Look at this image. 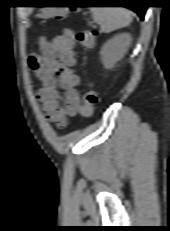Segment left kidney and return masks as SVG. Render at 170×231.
<instances>
[{
    "mask_svg": "<svg viewBox=\"0 0 170 231\" xmlns=\"http://www.w3.org/2000/svg\"><path fill=\"white\" fill-rule=\"evenodd\" d=\"M132 37L129 33L119 34L107 41L101 49V61L106 69H112L122 59L130 46Z\"/></svg>",
    "mask_w": 170,
    "mask_h": 231,
    "instance_id": "1",
    "label": "left kidney"
}]
</instances>
